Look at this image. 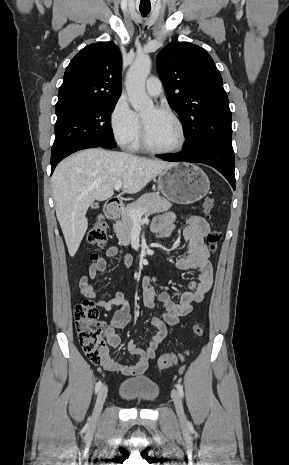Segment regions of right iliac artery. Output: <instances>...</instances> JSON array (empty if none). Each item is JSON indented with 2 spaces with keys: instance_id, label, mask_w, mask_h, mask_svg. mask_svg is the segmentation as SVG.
Wrapping results in <instances>:
<instances>
[{
  "instance_id": "obj_1",
  "label": "right iliac artery",
  "mask_w": 289,
  "mask_h": 465,
  "mask_svg": "<svg viewBox=\"0 0 289 465\" xmlns=\"http://www.w3.org/2000/svg\"><path fill=\"white\" fill-rule=\"evenodd\" d=\"M101 386H102V381L99 380L95 386V393H97L100 390Z\"/></svg>"
}]
</instances>
